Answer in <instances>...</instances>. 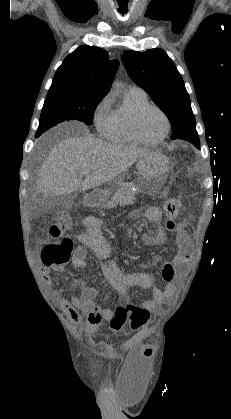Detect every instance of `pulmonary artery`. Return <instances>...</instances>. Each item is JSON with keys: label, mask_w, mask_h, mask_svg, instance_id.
<instances>
[{"label": "pulmonary artery", "mask_w": 231, "mask_h": 419, "mask_svg": "<svg viewBox=\"0 0 231 419\" xmlns=\"http://www.w3.org/2000/svg\"><path fill=\"white\" fill-rule=\"evenodd\" d=\"M130 90H136V91H141V92H144V90L143 89H141L140 87H138V86H132V87H130Z\"/></svg>", "instance_id": "obj_1"}]
</instances>
